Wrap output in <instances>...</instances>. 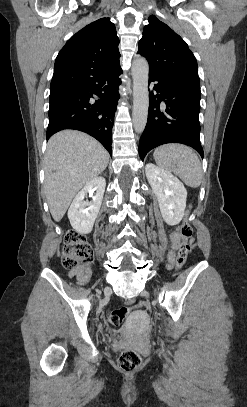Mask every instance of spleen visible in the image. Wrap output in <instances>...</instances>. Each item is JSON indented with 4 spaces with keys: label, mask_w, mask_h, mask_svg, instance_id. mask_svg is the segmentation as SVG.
<instances>
[{
    "label": "spleen",
    "mask_w": 247,
    "mask_h": 407,
    "mask_svg": "<svg viewBox=\"0 0 247 407\" xmlns=\"http://www.w3.org/2000/svg\"><path fill=\"white\" fill-rule=\"evenodd\" d=\"M154 159L159 167L173 172L189 187L201 185L203 172L196 153L182 144H166L155 149Z\"/></svg>",
    "instance_id": "3e777b00"
}]
</instances>
